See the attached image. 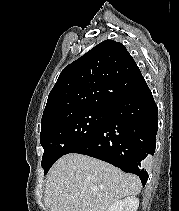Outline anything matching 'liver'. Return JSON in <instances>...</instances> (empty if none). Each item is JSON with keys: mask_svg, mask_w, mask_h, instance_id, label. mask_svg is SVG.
I'll list each match as a JSON object with an SVG mask.
<instances>
[{"mask_svg": "<svg viewBox=\"0 0 179 211\" xmlns=\"http://www.w3.org/2000/svg\"><path fill=\"white\" fill-rule=\"evenodd\" d=\"M141 188L133 174L86 155L67 154L48 172L44 201L50 211H107Z\"/></svg>", "mask_w": 179, "mask_h": 211, "instance_id": "obj_1", "label": "liver"}]
</instances>
